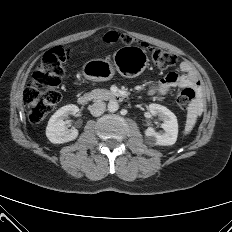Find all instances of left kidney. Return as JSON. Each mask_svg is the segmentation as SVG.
<instances>
[{
  "mask_svg": "<svg viewBox=\"0 0 232 232\" xmlns=\"http://www.w3.org/2000/svg\"><path fill=\"white\" fill-rule=\"evenodd\" d=\"M149 111L151 115H157L163 120L161 127L164 132H156L154 128L148 127L145 130L148 143L161 146L173 145L178 135V122L175 114L165 106L159 104H150Z\"/></svg>",
  "mask_w": 232,
  "mask_h": 232,
  "instance_id": "1",
  "label": "left kidney"
}]
</instances>
